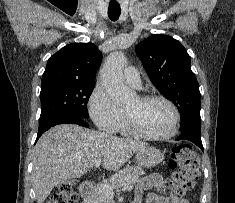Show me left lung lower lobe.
<instances>
[{
	"label": "left lung lower lobe",
	"mask_w": 235,
	"mask_h": 203,
	"mask_svg": "<svg viewBox=\"0 0 235 203\" xmlns=\"http://www.w3.org/2000/svg\"><path fill=\"white\" fill-rule=\"evenodd\" d=\"M176 140H188V141H191L194 144H196L202 151H204L203 145H202V141H201V132H197V131H194V130L183 131L176 138Z\"/></svg>",
	"instance_id": "1"
}]
</instances>
